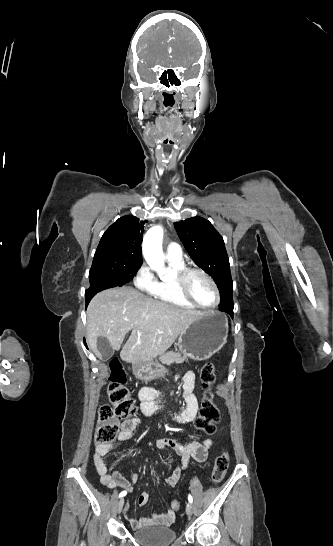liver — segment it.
Here are the masks:
<instances>
[{
    "label": "liver",
    "mask_w": 333,
    "mask_h": 546,
    "mask_svg": "<svg viewBox=\"0 0 333 546\" xmlns=\"http://www.w3.org/2000/svg\"><path fill=\"white\" fill-rule=\"evenodd\" d=\"M200 311L181 309L147 297L132 287H116L97 293L87 309V344L101 358L97 338L105 337L111 347L120 349L127 363L153 361L175 342L180 333L203 316Z\"/></svg>",
    "instance_id": "obj_1"
}]
</instances>
